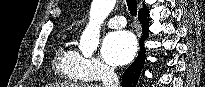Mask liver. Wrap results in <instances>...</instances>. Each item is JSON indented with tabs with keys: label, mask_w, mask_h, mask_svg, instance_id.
Returning a JSON list of instances; mask_svg holds the SVG:
<instances>
[{
	"label": "liver",
	"mask_w": 205,
	"mask_h": 87,
	"mask_svg": "<svg viewBox=\"0 0 205 87\" xmlns=\"http://www.w3.org/2000/svg\"><path fill=\"white\" fill-rule=\"evenodd\" d=\"M50 87H98L96 85H89V84H76V83H59V84H52Z\"/></svg>",
	"instance_id": "liver-1"
}]
</instances>
